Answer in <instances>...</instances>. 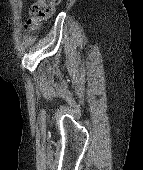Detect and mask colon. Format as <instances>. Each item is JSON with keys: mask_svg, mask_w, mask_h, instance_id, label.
I'll use <instances>...</instances> for the list:
<instances>
[{"mask_svg": "<svg viewBox=\"0 0 143 170\" xmlns=\"http://www.w3.org/2000/svg\"><path fill=\"white\" fill-rule=\"evenodd\" d=\"M60 0H37L31 7L27 25L30 29H37L44 21L49 19Z\"/></svg>", "mask_w": 143, "mask_h": 170, "instance_id": "colon-1", "label": "colon"}]
</instances>
